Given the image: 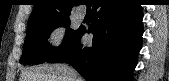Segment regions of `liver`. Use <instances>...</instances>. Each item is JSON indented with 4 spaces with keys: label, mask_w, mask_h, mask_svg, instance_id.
<instances>
[{
    "label": "liver",
    "mask_w": 169,
    "mask_h": 81,
    "mask_svg": "<svg viewBox=\"0 0 169 81\" xmlns=\"http://www.w3.org/2000/svg\"><path fill=\"white\" fill-rule=\"evenodd\" d=\"M72 68L66 64H42L30 67L21 74L20 81H83L78 74L76 78L72 76Z\"/></svg>",
    "instance_id": "obj_1"
}]
</instances>
